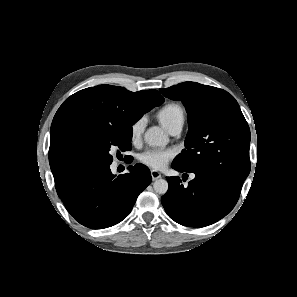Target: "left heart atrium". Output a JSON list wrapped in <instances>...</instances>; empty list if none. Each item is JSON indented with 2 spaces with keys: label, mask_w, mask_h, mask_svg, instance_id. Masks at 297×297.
<instances>
[{
  "label": "left heart atrium",
  "mask_w": 297,
  "mask_h": 297,
  "mask_svg": "<svg viewBox=\"0 0 297 297\" xmlns=\"http://www.w3.org/2000/svg\"><path fill=\"white\" fill-rule=\"evenodd\" d=\"M172 149H148L140 155V161L155 170H162L174 157Z\"/></svg>",
  "instance_id": "obj_1"
}]
</instances>
